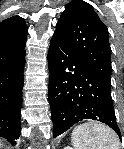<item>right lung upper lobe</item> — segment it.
I'll return each mask as SVG.
<instances>
[{"mask_svg":"<svg viewBox=\"0 0 124 149\" xmlns=\"http://www.w3.org/2000/svg\"><path fill=\"white\" fill-rule=\"evenodd\" d=\"M27 33V26L23 18L13 16L3 20L0 23V47L23 42L27 38Z\"/></svg>","mask_w":124,"mask_h":149,"instance_id":"1","label":"right lung upper lobe"}]
</instances>
